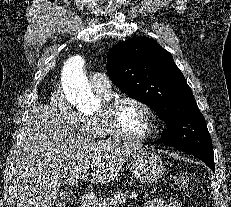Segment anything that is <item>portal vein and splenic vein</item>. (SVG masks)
<instances>
[{
	"label": "portal vein and splenic vein",
	"mask_w": 231,
	"mask_h": 207,
	"mask_svg": "<svg viewBox=\"0 0 231 207\" xmlns=\"http://www.w3.org/2000/svg\"><path fill=\"white\" fill-rule=\"evenodd\" d=\"M88 178V174L83 175L82 179L86 180Z\"/></svg>",
	"instance_id": "18ae733b"
}]
</instances>
